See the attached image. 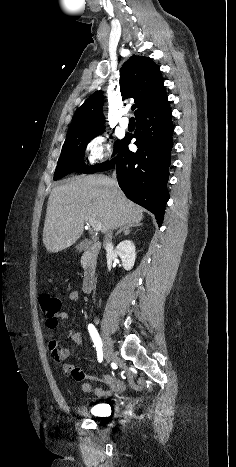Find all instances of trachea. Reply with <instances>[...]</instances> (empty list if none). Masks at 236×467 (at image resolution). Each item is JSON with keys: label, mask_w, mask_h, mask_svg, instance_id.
<instances>
[{"label": "trachea", "mask_w": 236, "mask_h": 467, "mask_svg": "<svg viewBox=\"0 0 236 467\" xmlns=\"http://www.w3.org/2000/svg\"><path fill=\"white\" fill-rule=\"evenodd\" d=\"M131 110H135V105H133V106L131 107Z\"/></svg>", "instance_id": "3493384b"}]
</instances>
